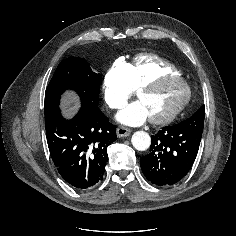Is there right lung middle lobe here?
Returning a JSON list of instances; mask_svg holds the SVG:
<instances>
[{"label":"right lung middle lobe","mask_w":236,"mask_h":236,"mask_svg":"<svg viewBox=\"0 0 236 236\" xmlns=\"http://www.w3.org/2000/svg\"><path fill=\"white\" fill-rule=\"evenodd\" d=\"M101 74L92 71L89 64L78 57L63 60L46 88L45 117L60 114L59 104L62 94L75 92L80 98L81 107L92 110L98 106Z\"/></svg>","instance_id":"dd1d6c3e"}]
</instances>
